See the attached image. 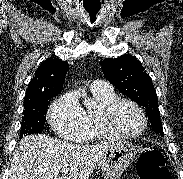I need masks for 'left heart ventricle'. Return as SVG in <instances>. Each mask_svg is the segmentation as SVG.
I'll return each instance as SVG.
<instances>
[{
  "mask_svg": "<svg viewBox=\"0 0 183 179\" xmlns=\"http://www.w3.org/2000/svg\"><path fill=\"white\" fill-rule=\"evenodd\" d=\"M142 117L132 105L123 104L115 114V128L125 134L138 131L142 126Z\"/></svg>",
  "mask_w": 183,
  "mask_h": 179,
  "instance_id": "left-heart-ventricle-1",
  "label": "left heart ventricle"
}]
</instances>
